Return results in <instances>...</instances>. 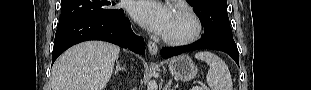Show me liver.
<instances>
[{"label":"liver","instance_id":"1","mask_svg":"<svg viewBox=\"0 0 311 90\" xmlns=\"http://www.w3.org/2000/svg\"><path fill=\"white\" fill-rule=\"evenodd\" d=\"M120 48L87 41L64 52L51 72L52 90H103L109 82Z\"/></svg>","mask_w":311,"mask_h":90}]
</instances>
